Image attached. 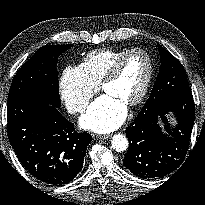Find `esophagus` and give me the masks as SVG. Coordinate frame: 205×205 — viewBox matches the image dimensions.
<instances>
[{
    "mask_svg": "<svg viewBox=\"0 0 205 205\" xmlns=\"http://www.w3.org/2000/svg\"><path fill=\"white\" fill-rule=\"evenodd\" d=\"M110 137H111L110 134H108V135H100V136H99L100 139H108V138H110Z\"/></svg>",
    "mask_w": 205,
    "mask_h": 205,
    "instance_id": "34e87169",
    "label": "esophagus"
}]
</instances>
